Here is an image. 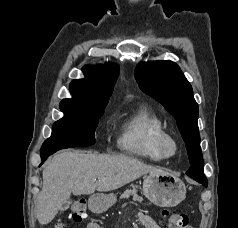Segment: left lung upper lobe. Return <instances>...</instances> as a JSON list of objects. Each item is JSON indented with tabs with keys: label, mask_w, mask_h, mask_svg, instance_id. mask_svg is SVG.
<instances>
[{
	"label": "left lung upper lobe",
	"mask_w": 238,
	"mask_h": 228,
	"mask_svg": "<svg viewBox=\"0 0 238 228\" xmlns=\"http://www.w3.org/2000/svg\"><path fill=\"white\" fill-rule=\"evenodd\" d=\"M135 78L139 87L177 120L191 163L186 173L205 176L197 124L198 104L179 66L170 60L141 62L135 69Z\"/></svg>",
	"instance_id": "1"
}]
</instances>
